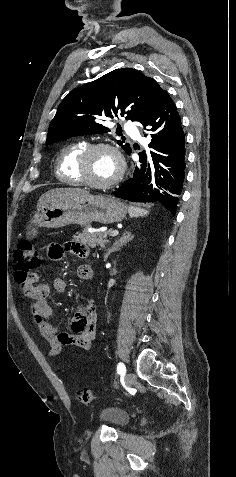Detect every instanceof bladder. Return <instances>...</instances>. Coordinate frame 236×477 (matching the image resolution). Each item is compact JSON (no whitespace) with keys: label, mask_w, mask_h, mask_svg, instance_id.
<instances>
[{"label":"bladder","mask_w":236,"mask_h":477,"mask_svg":"<svg viewBox=\"0 0 236 477\" xmlns=\"http://www.w3.org/2000/svg\"><path fill=\"white\" fill-rule=\"evenodd\" d=\"M98 420L102 423L110 425L111 427L122 429L128 425L130 416L121 409L115 407H106L99 411Z\"/></svg>","instance_id":"bladder-1"}]
</instances>
